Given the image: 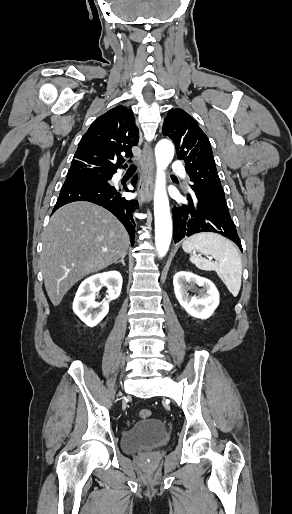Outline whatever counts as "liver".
Masks as SVG:
<instances>
[{
	"label": "liver",
	"instance_id": "liver-1",
	"mask_svg": "<svg viewBox=\"0 0 292 514\" xmlns=\"http://www.w3.org/2000/svg\"><path fill=\"white\" fill-rule=\"evenodd\" d=\"M42 244L46 292L53 306H59L78 280L127 256L130 242L124 226L108 210L90 202H72L51 216Z\"/></svg>",
	"mask_w": 292,
	"mask_h": 514
}]
</instances>
